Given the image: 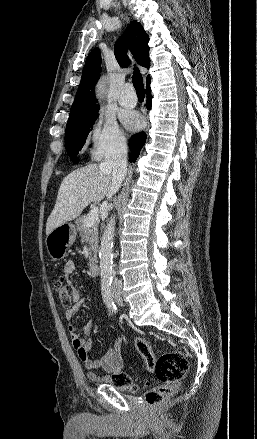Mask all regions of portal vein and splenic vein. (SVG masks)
Here are the masks:
<instances>
[{
    "instance_id": "obj_1",
    "label": "portal vein and splenic vein",
    "mask_w": 257,
    "mask_h": 439,
    "mask_svg": "<svg viewBox=\"0 0 257 439\" xmlns=\"http://www.w3.org/2000/svg\"><path fill=\"white\" fill-rule=\"evenodd\" d=\"M97 220H98V208L95 207V208L91 209V211L88 213V215L84 221V225L89 227L92 224H94Z\"/></svg>"
}]
</instances>
